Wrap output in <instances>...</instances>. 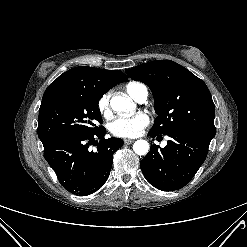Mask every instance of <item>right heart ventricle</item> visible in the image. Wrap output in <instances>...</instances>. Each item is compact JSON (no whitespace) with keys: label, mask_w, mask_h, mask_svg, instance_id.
<instances>
[{"label":"right heart ventricle","mask_w":247,"mask_h":247,"mask_svg":"<svg viewBox=\"0 0 247 247\" xmlns=\"http://www.w3.org/2000/svg\"><path fill=\"white\" fill-rule=\"evenodd\" d=\"M142 84L138 83V82H131L129 84H127L126 86V90L128 92V94L134 98V95L137 91V89L141 86Z\"/></svg>","instance_id":"e07e8e85"}]
</instances>
